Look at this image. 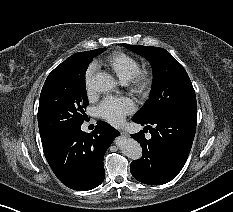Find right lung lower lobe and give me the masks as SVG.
<instances>
[{"label":"right lung lower lobe","instance_id":"right-lung-lower-lobe-1","mask_svg":"<svg viewBox=\"0 0 233 212\" xmlns=\"http://www.w3.org/2000/svg\"><path fill=\"white\" fill-rule=\"evenodd\" d=\"M119 132L99 121L92 133L75 127L43 145L45 157L57 178L67 187L86 191L99 186L105 178L104 153Z\"/></svg>","mask_w":233,"mask_h":212}]
</instances>
